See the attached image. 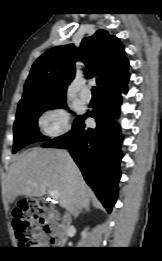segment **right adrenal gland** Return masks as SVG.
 <instances>
[{"mask_svg":"<svg viewBox=\"0 0 162 261\" xmlns=\"http://www.w3.org/2000/svg\"><path fill=\"white\" fill-rule=\"evenodd\" d=\"M84 210L86 211V212H89L90 211V208L89 207H84ZM83 212V210H82V208H79L76 212H75V214H74V217L76 218L80 213H82Z\"/></svg>","mask_w":162,"mask_h":261,"instance_id":"2a0ac1e0","label":"right adrenal gland"}]
</instances>
